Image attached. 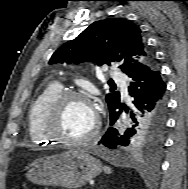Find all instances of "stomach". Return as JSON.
Wrapping results in <instances>:
<instances>
[{"mask_svg":"<svg viewBox=\"0 0 188 189\" xmlns=\"http://www.w3.org/2000/svg\"><path fill=\"white\" fill-rule=\"evenodd\" d=\"M100 172L101 164L94 157L84 151L69 150L35 160L25 175L33 183L76 189Z\"/></svg>","mask_w":188,"mask_h":189,"instance_id":"0dacf381","label":"stomach"}]
</instances>
